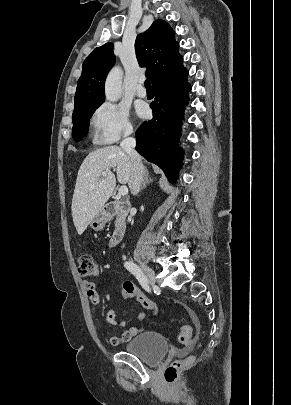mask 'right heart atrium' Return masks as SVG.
Listing matches in <instances>:
<instances>
[{
    "instance_id": "obj_1",
    "label": "right heart atrium",
    "mask_w": 291,
    "mask_h": 405,
    "mask_svg": "<svg viewBox=\"0 0 291 405\" xmlns=\"http://www.w3.org/2000/svg\"><path fill=\"white\" fill-rule=\"evenodd\" d=\"M91 125L94 140L99 145L114 144L134 131L128 110L111 102L102 103L95 109Z\"/></svg>"
}]
</instances>
